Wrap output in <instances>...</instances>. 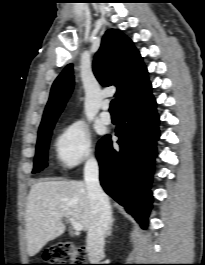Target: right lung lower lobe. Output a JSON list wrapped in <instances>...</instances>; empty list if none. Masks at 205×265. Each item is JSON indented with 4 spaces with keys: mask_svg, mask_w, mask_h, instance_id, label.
I'll return each instance as SVG.
<instances>
[{
    "mask_svg": "<svg viewBox=\"0 0 205 265\" xmlns=\"http://www.w3.org/2000/svg\"><path fill=\"white\" fill-rule=\"evenodd\" d=\"M158 123L156 102L150 93L139 103L120 111L115 132L119 151L113 149L109 135L97 145L102 187L143 228L147 227L152 203L149 187L159 138Z\"/></svg>",
    "mask_w": 205,
    "mask_h": 265,
    "instance_id": "1",
    "label": "right lung lower lobe"
}]
</instances>
